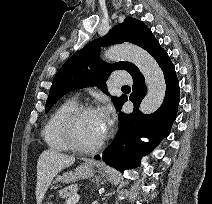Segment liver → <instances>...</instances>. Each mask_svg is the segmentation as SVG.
Segmentation results:
<instances>
[{
  "label": "liver",
  "instance_id": "6515ba94",
  "mask_svg": "<svg viewBox=\"0 0 212 204\" xmlns=\"http://www.w3.org/2000/svg\"><path fill=\"white\" fill-rule=\"evenodd\" d=\"M75 158L55 150L43 151L37 162L36 201L41 204L53 178L61 170L73 165Z\"/></svg>",
  "mask_w": 212,
  "mask_h": 204
}]
</instances>
